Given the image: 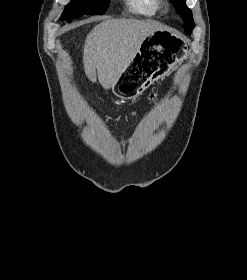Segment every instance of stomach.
<instances>
[{
  "label": "stomach",
  "instance_id": "0dacf381",
  "mask_svg": "<svg viewBox=\"0 0 247 280\" xmlns=\"http://www.w3.org/2000/svg\"><path fill=\"white\" fill-rule=\"evenodd\" d=\"M185 53L186 44L180 36L166 30L150 34L112 87L113 92L123 98L139 94L165 77Z\"/></svg>",
  "mask_w": 247,
  "mask_h": 280
}]
</instances>
